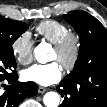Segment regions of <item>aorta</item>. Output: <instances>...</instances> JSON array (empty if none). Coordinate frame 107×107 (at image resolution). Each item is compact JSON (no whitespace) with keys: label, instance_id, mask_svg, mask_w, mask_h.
I'll return each instance as SVG.
<instances>
[{"label":"aorta","instance_id":"762f6f07","mask_svg":"<svg viewBox=\"0 0 107 107\" xmlns=\"http://www.w3.org/2000/svg\"><path fill=\"white\" fill-rule=\"evenodd\" d=\"M48 48L46 44L41 43L34 49V56L39 63L48 62ZM46 107H58L60 104V96L56 92H47L43 97Z\"/></svg>","mask_w":107,"mask_h":107}]
</instances>
